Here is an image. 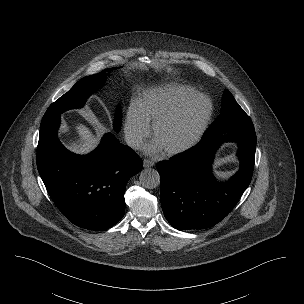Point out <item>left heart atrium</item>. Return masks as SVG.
<instances>
[{"instance_id":"39dd6f15","label":"left heart atrium","mask_w":304,"mask_h":304,"mask_svg":"<svg viewBox=\"0 0 304 304\" xmlns=\"http://www.w3.org/2000/svg\"><path fill=\"white\" fill-rule=\"evenodd\" d=\"M163 150V147L154 140L151 145L148 146L147 151L151 154H157Z\"/></svg>"}]
</instances>
